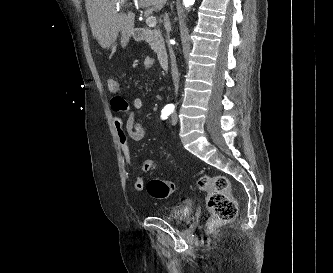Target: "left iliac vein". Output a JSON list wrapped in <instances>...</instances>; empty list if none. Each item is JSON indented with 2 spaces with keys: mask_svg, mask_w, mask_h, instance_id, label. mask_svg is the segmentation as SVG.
Segmentation results:
<instances>
[{
  "mask_svg": "<svg viewBox=\"0 0 333 273\" xmlns=\"http://www.w3.org/2000/svg\"><path fill=\"white\" fill-rule=\"evenodd\" d=\"M177 115L176 114H173L172 117H171V124L172 125H176L177 124Z\"/></svg>",
  "mask_w": 333,
  "mask_h": 273,
  "instance_id": "left-iliac-vein-1",
  "label": "left iliac vein"
}]
</instances>
